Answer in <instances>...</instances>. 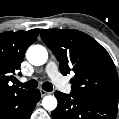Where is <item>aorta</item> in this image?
Segmentation results:
<instances>
[{"label":"aorta","instance_id":"obj_1","mask_svg":"<svg viewBox=\"0 0 119 119\" xmlns=\"http://www.w3.org/2000/svg\"><path fill=\"white\" fill-rule=\"evenodd\" d=\"M27 60L35 66H40L46 63L48 52L42 45H32L26 52ZM42 106L48 111H52L57 107V99L52 96H45L42 100Z\"/></svg>","mask_w":119,"mask_h":119}]
</instances>
